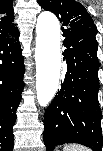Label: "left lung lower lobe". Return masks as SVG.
Returning <instances> with one entry per match:
<instances>
[{"label":"left lung lower lobe","instance_id":"left-lung-lower-lobe-1","mask_svg":"<svg viewBox=\"0 0 103 151\" xmlns=\"http://www.w3.org/2000/svg\"><path fill=\"white\" fill-rule=\"evenodd\" d=\"M63 36L67 73L60 91L45 111L46 150L78 143L93 151H102L96 38L69 30L63 32Z\"/></svg>","mask_w":103,"mask_h":151}]
</instances>
